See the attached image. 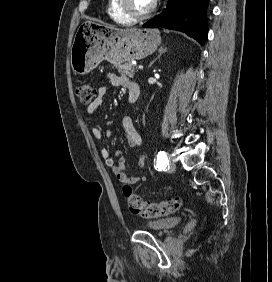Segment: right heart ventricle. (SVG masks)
Listing matches in <instances>:
<instances>
[{"label":"right heart ventricle","instance_id":"right-heart-ventricle-1","mask_svg":"<svg viewBox=\"0 0 272 282\" xmlns=\"http://www.w3.org/2000/svg\"><path fill=\"white\" fill-rule=\"evenodd\" d=\"M118 0H109V14L111 18L117 23L129 25L132 20L128 18L118 7Z\"/></svg>","mask_w":272,"mask_h":282}]
</instances>
